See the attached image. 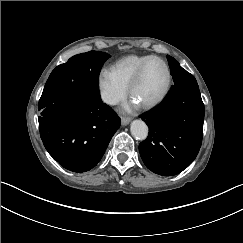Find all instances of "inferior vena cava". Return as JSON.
<instances>
[{
    "label": "inferior vena cava",
    "instance_id": "602c4592",
    "mask_svg": "<svg viewBox=\"0 0 243 243\" xmlns=\"http://www.w3.org/2000/svg\"><path fill=\"white\" fill-rule=\"evenodd\" d=\"M102 99L104 102L111 104V105H116L119 102L117 98L111 96L106 91L102 92Z\"/></svg>",
    "mask_w": 243,
    "mask_h": 243
}]
</instances>
